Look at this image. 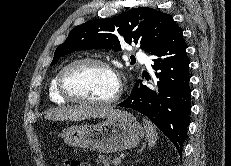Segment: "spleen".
I'll use <instances>...</instances> for the list:
<instances>
[{
	"instance_id": "obj_1",
	"label": "spleen",
	"mask_w": 231,
	"mask_h": 166,
	"mask_svg": "<svg viewBox=\"0 0 231 166\" xmlns=\"http://www.w3.org/2000/svg\"><path fill=\"white\" fill-rule=\"evenodd\" d=\"M143 125L146 131V138H147L148 146L153 147L156 144V141L158 139V133L149 120L144 119Z\"/></svg>"
}]
</instances>
